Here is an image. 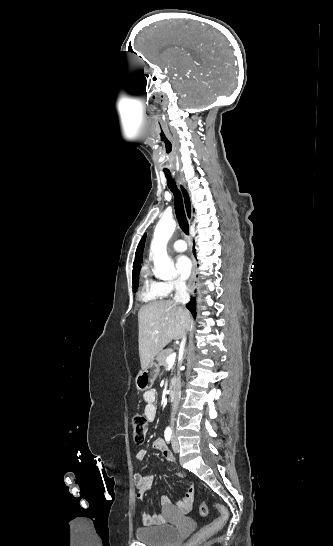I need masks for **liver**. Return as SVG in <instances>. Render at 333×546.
Instances as JSON below:
<instances>
[{
    "label": "liver",
    "mask_w": 333,
    "mask_h": 546,
    "mask_svg": "<svg viewBox=\"0 0 333 546\" xmlns=\"http://www.w3.org/2000/svg\"><path fill=\"white\" fill-rule=\"evenodd\" d=\"M190 319V313L173 300L152 302L139 309L138 342L142 369H146L172 340L182 339Z\"/></svg>",
    "instance_id": "obj_1"
}]
</instances>
